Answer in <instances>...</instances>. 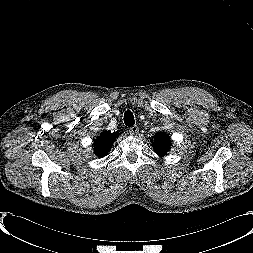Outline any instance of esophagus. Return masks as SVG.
<instances>
[{"label": "esophagus", "mask_w": 253, "mask_h": 253, "mask_svg": "<svg viewBox=\"0 0 253 253\" xmlns=\"http://www.w3.org/2000/svg\"><path fill=\"white\" fill-rule=\"evenodd\" d=\"M129 133L131 135H136L138 133V127L136 125L129 128Z\"/></svg>", "instance_id": "obj_1"}]
</instances>
